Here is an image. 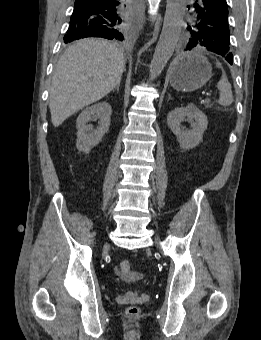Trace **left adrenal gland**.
I'll return each instance as SVG.
<instances>
[{
  "mask_svg": "<svg viewBox=\"0 0 261 340\" xmlns=\"http://www.w3.org/2000/svg\"><path fill=\"white\" fill-rule=\"evenodd\" d=\"M171 99H172V98H171V95L169 94V95H168V101L171 100Z\"/></svg>",
  "mask_w": 261,
  "mask_h": 340,
  "instance_id": "1",
  "label": "left adrenal gland"
}]
</instances>
